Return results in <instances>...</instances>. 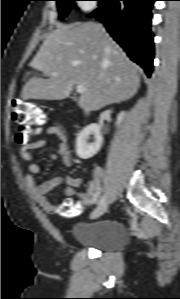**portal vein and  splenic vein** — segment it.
I'll return each instance as SVG.
<instances>
[{
    "label": "portal vein and splenic vein",
    "instance_id": "obj_1",
    "mask_svg": "<svg viewBox=\"0 0 180 299\" xmlns=\"http://www.w3.org/2000/svg\"><path fill=\"white\" fill-rule=\"evenodd\" d=\"M52 76H54V77L57 76V73H56V72H53V73H52ZM86 90H87L86 87L83 86V85H80V84H79V85L76 86V91H77L79 94H84V93L86 92Z\"/></svg>",
    "mask_w": 180,
    "mask_h": 299
}]
</instances>
